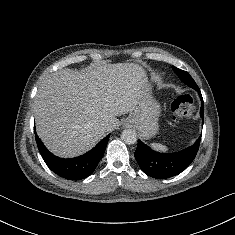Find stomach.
Masks as SVG:
<instances>
[{
	"label": "stomach",
	"instance_id": "stomach-1",
	"mask_svg": "<svg viewBox=\"0 0 235 235\" xmlns=\"http://www.w3.org/2000/svg\"><path fill=\"white\" fill-rule=\"evenodd\" d=\"M144 91L134 113L129 115L123 124L135 127L144 139H149L155 136L159 130L158 119L161 114V106L151 96V87L148 84Z\"/></svg>",
	"mask_w": 235,
	"mask_h": 235
}]
</instances>
